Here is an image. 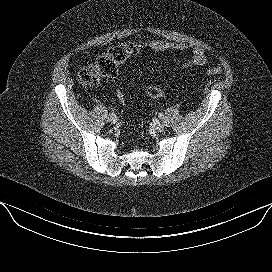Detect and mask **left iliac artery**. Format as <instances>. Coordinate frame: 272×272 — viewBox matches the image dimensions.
<instances>
[{"instance_id": "1", "label": "left iliac artery", "mask_w": 272, "mask_h": 272, "mask_svg": "<svg viewBox=\"0 0 272 272\" xmlns=\"http://www.w3.org/2000/svg\"><path fill=\"white\" fill-rule=\"evenodd\" d=\"M158 117H159L160 119H164V115H163L162 113H160V114L158 115Z\"/></svg>"}]
</instances>
